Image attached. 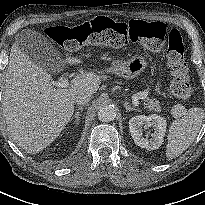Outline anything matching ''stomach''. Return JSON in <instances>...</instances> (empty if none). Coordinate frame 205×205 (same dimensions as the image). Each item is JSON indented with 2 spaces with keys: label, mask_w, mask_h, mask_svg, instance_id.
Returning a JSON list of instances; mask_svg holds the SVG:
<instances>
[{
  "label": "stomach",
  "mask_w": 205,
  "mask_h": 205,
  "mask_svg": "<svg viewBox=\"0 0 205 205\" xmlns=\"http://www.w3.org/2000/svg\"><path fill=\"white\" fill-rule=\"evenodd\" d=\"M148 63L144 56L134 55L128 61L116 62L113 72L127 79H133L140 75L147 67Z\"/></svg>",
  "instance_id": "stomach-1"
}]
</instances>
